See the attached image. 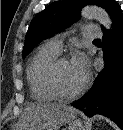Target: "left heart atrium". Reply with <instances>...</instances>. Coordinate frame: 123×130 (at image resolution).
<instances>
[{"mask_svg":"<svg viewBox=\"0 0 123 130\" xmlns=\"http://www.w3.org/2000/svg\"><path fill=\"white\" fill-rule=\"evenodd\" d=\"M70 62L75 72L85 80L88 73V60L86 56L81 52L76 53Z\"/></svg>","mask_w":123,"mask_h":130,"instance_id":"obj_1","label":"left heart atrium"}]
</instances>
